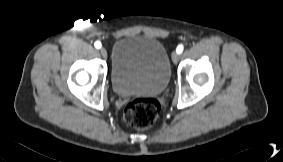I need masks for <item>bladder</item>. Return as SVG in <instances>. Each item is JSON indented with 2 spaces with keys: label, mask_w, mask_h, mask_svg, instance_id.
Returning a JSON list of instances; mask_svg holds the SVG:
<instances>
[{
  "label": "bladder",
  "mask_w": 283,
  "mask_h": 162,
  "mask_svg": "<svg viewBox=\"0 0 283 162\" xmlns=\"http://www.w3.org/2000/svg\"><path fill=\"white\" fill-rule=\"evenodd\" d=\"M171 75L169 55L156 38L128 35L113 45L111 85L119 96L161 94Z\"/></svg>",
  "instance_id": "bladder-1"
}]
</instances>
